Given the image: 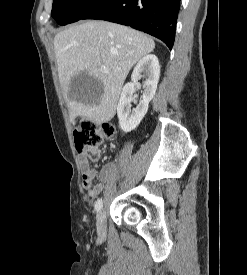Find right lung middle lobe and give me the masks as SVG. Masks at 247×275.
Returning <instances> with one entry per match:
<instances>
[{"mask_svg":"<svg viewBox=\"0 0 247 275\" xmlns=\"http://www.w3.org/2000/svg\"><path fill=\"white\" fill-rule=\"evenodd\" d=\"M101 0H54L52 17L59 25L80 20L84 14L97 5Z\"/></svg>","mask_w":247,"mask_h":275,"instance_id":"1","label":"right lung middle lobe"}]
</instances>
